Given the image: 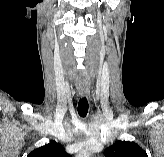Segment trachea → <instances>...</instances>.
I'll return each instance as SVG.
<instances>
[{"instance_id":"1","label":"trachea","mask_w":164,"mask_h":157,"mask_svg":"<svg viewBox=\"0 0 164 157\" xmlns=\"http://www.w3.org/2000/svg\"><path fill=\"white\" fill-rule=\"evenodd\" d=\"M88 101L86 97L80 98L79 103H78V114L81 117H85L88 113Z\"/></svg>"}]
</instances>
